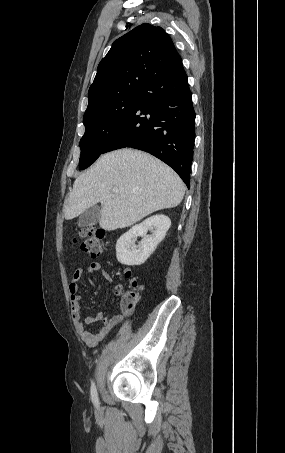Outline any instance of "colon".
<instances>
[{
  "label": "colon",
  "mask_w": 285,
  "mask_h": 453,
  "mask_svg": "<svg viewBox=\"0 0 285 453\" xmlns=\"http://www.w3.org/2000/svg\"><path fill=\"white\" fill-rule=\"evenodd\" d=\"M79 237L83 239L81 244L82 250L90 257L96 258L101 254L102 241L106 237V231L103 228L94 225L86 227L80 230ZM74 241L77 242V239ZM126 277L131 280L133 288L124 292L119 290V292L122 295V308L125 311H130L139 300V291L141 287L138 285L137 281L132 278L131 272H127Z\"/></svg>",
  "instance_id": "1"
}]
</instances>
